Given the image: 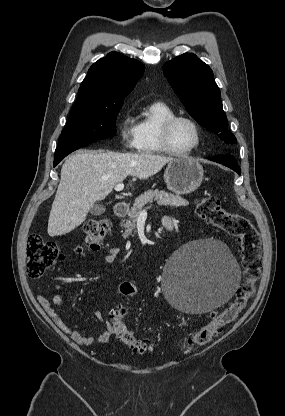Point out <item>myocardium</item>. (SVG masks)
<instances>
[{
	"label": "myocardium",
	"mask_w": 285,
	"mask_h": 416,
	"mask_svg": "<svg viewBox=\"0 0 285 416\" xmlns=\"http://www.w3.org/2000/svg\"><path fill=\"white\" fill-rule=\"evenodd\" d=\"M178 120L188 121L194 127L195 132H196V144L192 148L185 150V151H179L175 149L170 139L172 127ZM160 139H161L162 147L166 153L173 155V156H177V157L189 156V155L194 154L201 146V143H202L201 128L199 124L197 123V121L193 119L192 117H190L189 115L174 114L168 117L162 123L161 128H160Z\"/></svg>",
	"instance_id": "myocardium-1"
}]
</instances>
